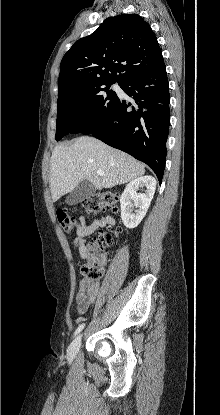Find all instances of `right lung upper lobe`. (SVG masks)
Instances as JSON below:
<instances>
[{"label":"right lung upper lobe","instance_id":"right-lung-upper-lobe-1","mask_svg":"<svg viewBox=\"0 0 220 415\" xmlns=\"http://www.w3.org/2000/svg\"><path fill=\"white\" fill-rule=\"evenodd\" d=\"M164 62L150 25L138 14L107 18L76 41L60 64L58 94L81 84L122 83ZM118 73V75H116Z\"/></svg>","mask_w":220,"mask_h":415}]
</instances>
